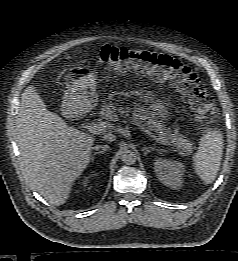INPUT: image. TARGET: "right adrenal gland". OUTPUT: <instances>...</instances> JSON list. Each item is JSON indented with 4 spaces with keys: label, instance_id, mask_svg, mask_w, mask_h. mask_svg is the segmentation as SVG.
<instances>
[{
    "label": "right adrenal gland",
    "instance_id": "obj_1",
    "mask_svg": "<svg viewBox=\"0 0 238 261\" xmlns=\"http://www.w3.org/2000/svg\"><path fill=\"white\" fill-rule=\"evenodd\" d=\"M106 150H107V149L104 148L103 150H100V151H98V152H95L94 155L104 154Z\"/></svg>",
    "mask_w": 238,
    "mask_h": 261
}]
</instances>
